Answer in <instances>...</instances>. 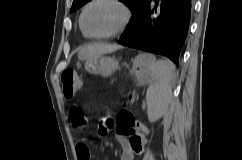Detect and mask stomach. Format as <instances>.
Returning <instances> with one entry per match:
<instances>
[{
  "mask_svg": "<svg viewBox=\"0 0 242 160\" xmlns=\"http://www.w3.org/2000/svg\"><path fill=\"white\" fill-rule=\"evenodd\" d=\"M118 68V62L108 56H99L85 62V69L90 74L110 76ZM133 72L139 83H146L152 79L149 54H140L133 61Z\"/></svg>",
  "mask_w": 242,
  "mask_h": 160,
  "instance_id": "0dacf381",
  "label": "stomach"
}]
</instances>
